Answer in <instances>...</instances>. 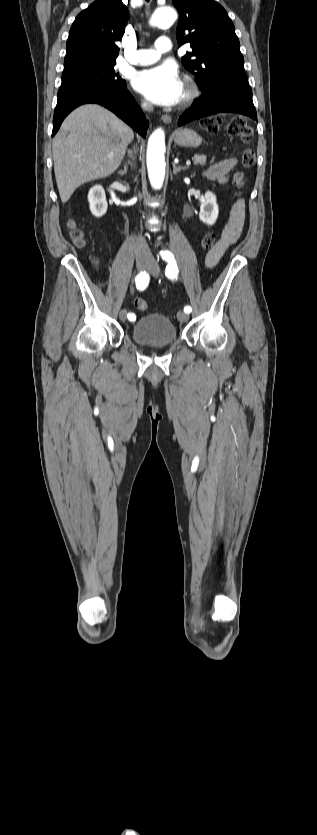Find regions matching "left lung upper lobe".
Instances as JSON below:
<instances>
[{
  "instance_id": "5c2ea615",
  "label": "left lung upper lobe",
  "mask_w": 317,
  "mask_h": 835,
  "mask_svg": "<svg viewBox=\"0 0 317 835\" xmlns=\"http://www.w3.org/2000/svg\"><path fill=\"white\" fill-rule=\"evenodd\" d=\"M179 12L178 46L190 43L184 67L197 78L203 92L213 91L221 78L245 75L244 58L235 27L225 9L213 0H172Z\"/></svg>"
}]
</instances>
